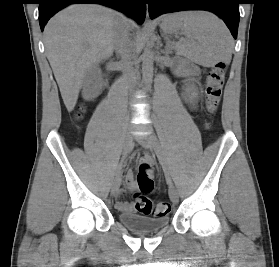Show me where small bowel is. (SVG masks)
I'll return each instance as SVG.
<instances>
[{"label":"small bowel","mask_w":279,"mask_h":267,"mask_svg":"<svg viewBox=\"0 0 279 267\" xmlns=\"http://www.w3.org/2000/svg\"><path fill=\"white\" fill-rule=\"evenodd\" d=\"M182 72L184 74H188V75H196L197 74V70L193 67H188V68L184 69ZM183 97H184V100L186 101V103L191 108L195 107L196 99L193 95L188 94V93H184ZM144 161L151 162V158L149 156H146ZM126 184H127V187H128L129 190L133 191V190L136 189V183L134 181L133 174L131 172H129L126 175ZM115 207H116L117 210H119L121 212H132L134 210V206L132 204L121 201V200L116 201Z\"/></svg>","instance_id":"small-bowel-1"}]
</instances>
